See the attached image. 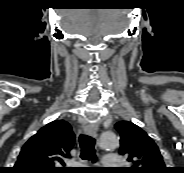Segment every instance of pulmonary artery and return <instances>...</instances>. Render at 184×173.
<instances>
[{"label":"pulmonary artery","mask_w":184,"mask_h":173,"mask_svg":"<svg viewBox=\"0 0 184 173\" xmlns=\"http://www.w3.org/2000/svg\"><path fill=\"white\" fill-rule=\"evenodd\" d=\"M119 157L117 155H105L102 164L108 168H114L119 165Z\"/></svg>","instance_id":"1"}]
</instances>
